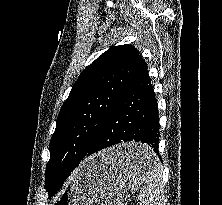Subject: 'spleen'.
<instances>
[{
    "label": "spleen",
    "instance_id": "3e777b00",
    "mask_svg": "<svg viewBox=\"0 0 222 205\" xmlns=\"http://www.w3.org/2000/svg\"><path fill=\"white\" fill-rule=\"evenodd\" d=\"M161 173L160 165L153 160L138 195L139 205H162L163 182Z\"/></svg>",
    "mask_w": 222,
    "mask_h": 205
}]
</instances>
